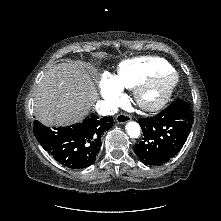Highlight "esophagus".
<instances>
[{
    "label": "esophagus",
    "mask_w": 221,
    "mask_h": 221,
    "mask_svg": "<svg viewBox=\"0 0 221 221\" xmlns=\"http://www.w3.org/2000/svg\"><path fill=\"white\" fill-rule=\"evenodd\" d=\"M130 120V116L125 113H120L116 116V121L118 124L127 123Z\"/></svg>",
    "instance_id": "34e87169"
}]
</instances>
